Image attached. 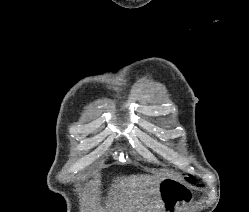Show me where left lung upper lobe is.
<instances>
[{"label": "left lung upper lobe", "instance_id": "1", "mask_svg": "<svg viewBox=\"0 0 249 212\" xmlns=\"http://www.w3.org/2000/svg\"><path fill=\"white\" fill-rule=\"evenodd\" d=\"M187 180L192 181V179H191V178H187Z\"/></svg>", "mask_w": 249, "mask_h": 212}]
</instances>
